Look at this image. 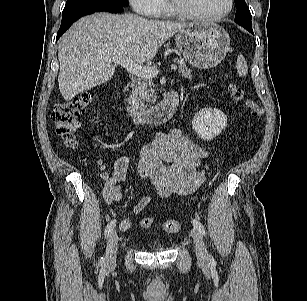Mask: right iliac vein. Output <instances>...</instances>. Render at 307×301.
Wrapping results in <instances>:
<instances>
[{
	"label": "right iliac vein",
	"mask_w": 307,
	"mask_h": 301,
	"mask_svg": "<svg viewBox=\"0 0 307 301\" xmlns=\"http://www.w3.org/2000/svg\"><path fill=\"white\" fill-rule=\"evenodd\" d=\"M117 244H118V234L116 231L110 234L107 243L106 255H105V265L108 267H113L116 263L117 255Z\"/></svg>",
	"instance_id": "right-iliac-vein-1"
}]
</instances>
